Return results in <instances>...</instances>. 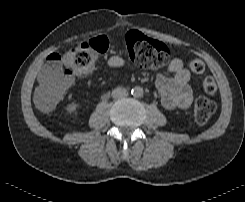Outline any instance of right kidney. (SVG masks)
<instances>
[{
  "label": "right kidney",
  "instance_id": "ca27d5eb",
  "mask_svg": "<svg viewBox=\"0 0 245 202\" xmlns=\"http://www.w3.org/2000/svg\"><path fill=\"white\" fill-rule=\"evenodd\" d=\"M77 107H78V104H76L75 102H73V103H71V104H69L67 106L66 110H67L68 113L71 114V113H73V112L76 111Z\"/></svg>",
  "mask_w": 245,
  "mask_h": 202
}]
</instances>
